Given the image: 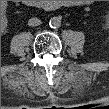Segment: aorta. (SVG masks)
I'll return each mask as SVG.
<instances>
[{
    "mask_svg": "<svg viewBox=\"0 0 109 109\" xmlns=\"http://www.w3.org/2000/svg\"><path fill=\"white\" fill-rule=\"evenodd\" d=\"M49 25L51 28H58L61 25V18L60 17H52L49 21Z\"/></svg>",
    "mask_w": 109,
    "mask_h": 109,
    "instance_id": "obj_1",
    "label": "aorta"
}]
</instances>
